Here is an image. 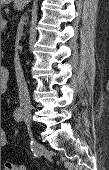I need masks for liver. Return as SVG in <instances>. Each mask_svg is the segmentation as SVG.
<instances>
[{
	"label": "liver",
	"instance_id": "6515ba94",
	"mask_svg": "<svg viewBox=\"0 0 109 170\" xmlns=\"http://www.w3.org/2000/svg\"><path fill=\"white\" fill-rule=\"evenodd\" d=\"M30 0H1L2 4H8L14 2V8L21 10Z\"/></svg>",
	"mask_w": 109,
	"mask_h": 170
}]
</instances>
